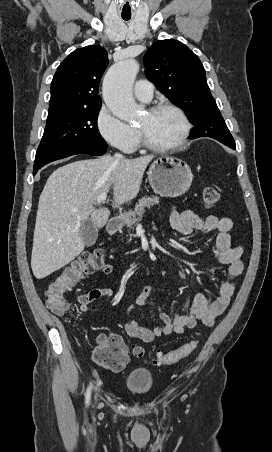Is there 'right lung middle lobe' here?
I'll return each mask as SVG.
<instances>
[{
    "mask_svg": "<svg viewBox=\"0 0 272 452\" xmlns=\"http://www.w3.org/2000/svg\"><path fill=\"white\" fill-rule=\"evenodd\" d=\"M100 107L66 110L48 114L38 152L61 150L72 146L107 148L100 135L97 118Z\"/></svg>",
    "mask_w": 272,
    "mask_h": 452,
    "instance_id": "right-lung-middle-lobe-1",
    "label": "right lung middle lobe"
}]
</instances>
